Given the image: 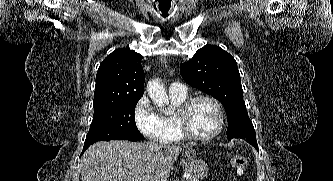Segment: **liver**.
I'll list each match as a JSON object with an SVG mask.
<instances>
[{"label":"liver","instance_id":"obj_1","mask_svg":"<svg viewBox=\"0 0 333 181\" xmlns=\"http://www.w3.org/2000/svg\"><path fill=\"white\" fill-rule=\"evenodd\" d=\"M192 147L100 141L81 158L82 181H167L179 153Z\"/></svg>","mask_w":333,"mask_h":181}]
</instances>
